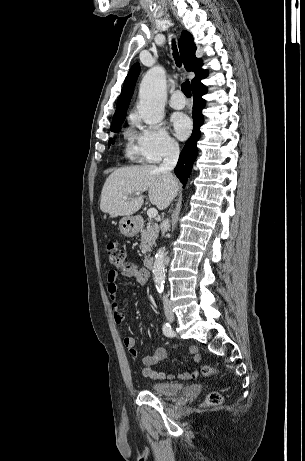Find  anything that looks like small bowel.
<instances>
[{
	"mask_svg": "<svg viewBox=\"0 0 305 461\" xmlns=\"http://www.w3.org/2000/svg\"><path fill=\"white\" fill-rule=\"evenodd\" d=\"M119 276L126 278H134L140 283H145L147 281L148 274L145 270L140 269L139 266L135 263H128L127 267L123 271L110 270L107 273V291L111 301V311L114 317V321L117 324H122L125 320L124 313L122 312L121 305L118 300V283L117 279ZM124 346L127 348L129 354L132 357L138 355L137 349L135 347V339L132 336H127L123 339ZM188 354L192 356L194 363H199L201 358L198 354V349L196 346L192 345L188 348ZM167 356L166 349L164 347H156L154 351L142 358L143 368L142 375L151 379H164L166 377L173 378L172 374L167 375L164 372L156 371L153 369V366L158 364L160 361L164 360ZM180 379L187 380L190 378V373L184 372L178 375Z\"/></svg>",
	"mask_w": 305,
	"mask_h": 461,
	"instance_id": "c3829d8e",
	"label": "small bowel"
}]
</instances>
